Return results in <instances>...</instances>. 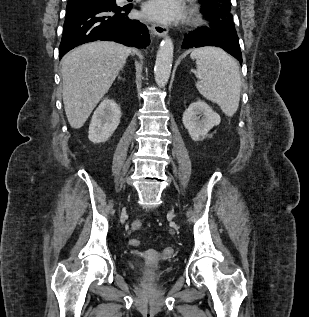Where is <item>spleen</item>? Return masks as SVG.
<instances>
[{"mask_svg": "<svg viewBox=\"0 0 309 317\" xmlns=\"http://www.w3.org/2000/svg\"><path fill=\"white\" fill-rule=\"evenodd\" d=\"M190 57L196 61L200 94L232 117L239 107L241 91V76L234 59L216 47L194 49Z\"/></svg>", "mask_w": 309, "mask_h": 317, "instance_id": "obj_1", "label": "spleen"}]
</instances>
